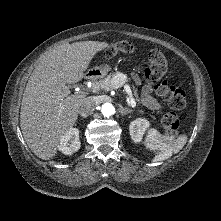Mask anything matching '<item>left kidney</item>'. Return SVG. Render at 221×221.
Segmentation results:
<instances>
[{"mask_svg": "<svg viewBox=\"0 0 221 221\" xmlns=\"http://www.w3.org/2000/svg\"><path fill=\"white\" fill-rule=\"evenodd\" d=\"M149 126V122L144 118H139L130 123L129 130L132 140L138 143L142 139V135L146 128Z\"/></svg>", "mask_w": 221, "mask_h": 221, "instance_id": "left-kidney-1", "label": "left kidney"}]
</instances>
